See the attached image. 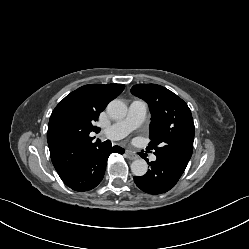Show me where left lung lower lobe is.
Here are the masks:
<instances>
[{
    "mask_svg": "<svg viewBox=\"0 0 249 249\" xmlns=\"http://www.w3.org/2000/svg\"><path fill=\"white\" fill-rule=\"evenodd\" d=\"M148 162V161H147ZM150 169L141 177H134L136 185L149 194L169 191L177 183L187 165L157 156L156 161L148 162Z\"/></svg>",
    "mask_w": 249,
    "mask_h": 249,
    "instance_id": "left-lung-lower-lobe-1",
    "label": "left lung lower lobe"
}]
</instances>
